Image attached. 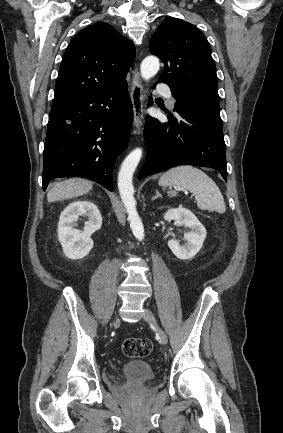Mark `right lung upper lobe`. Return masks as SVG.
I'll return each mask as SVG.
<instances>
[{
    "label": "right lung upper lobe",
    "instance_id": "cb5924a9",
    "mask_svg": "<svg viewBox=\"0 0 283 433\" xmlns=\"http://www.w3.org/2000/svg\"><path fill=\"white\" fill-rule=\"evenodd\" d=\"M135 53L134 44L107 23L83 29L64 53L53 103L120 86Z\"/></svg>",
    "mask_w": 283,
    "mask_h": 433
}]
</instances>
